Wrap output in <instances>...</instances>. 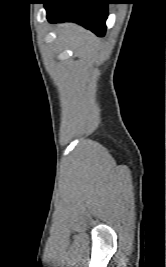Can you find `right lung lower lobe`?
<instances>
[{
    "mask_svg": "<svg viewBox=\"0 0 166 267\" xmlns=\"http://www.w3.org/2000/svg\"><path fill=\"white\" fill-rule=\"evenodd\" d=\"M109 0H47L44 2L51 23L76 22L102 37L106 31Z\"/></svg>",
    "mask_w": 166,
    "mask_h": 267,
    "instance_id": "right-lung-lower-lobe-1",
    "label": "right lung lower lobe"
}]
</instances>
